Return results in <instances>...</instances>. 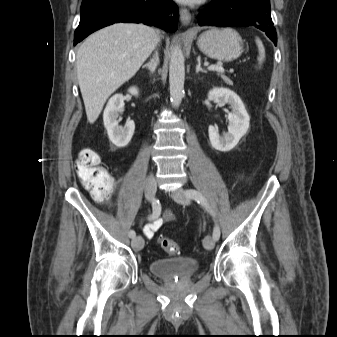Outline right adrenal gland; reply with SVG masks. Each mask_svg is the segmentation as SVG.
Instances as JSON below:
<instances>
[{"mask_svg":"<svg viewBox=\"0 0 337 337\" xmlns=\"http://www.w3.org/2000/svg\"><path fill=\"white\" fill-rule=\"evenodd\" d=\"M158 65H159V57L158 53L156 52L151 61L145 64L142 68H147L151 74H154Z\"/></svg>","mask_w":337,"mask_h":337,"instance_id":"right-adrenal-gland-1","label":"right adrenal gland"}]
</instances>
